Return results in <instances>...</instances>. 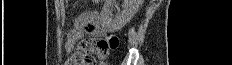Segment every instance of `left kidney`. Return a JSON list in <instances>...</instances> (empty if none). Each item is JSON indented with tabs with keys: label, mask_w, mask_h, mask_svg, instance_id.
Listing matches in <instances>:
<instances>
[{
	"label": "left kidney",
	"mask_w": 232,
	"mask_h": 65,
	"mask_svg": "<svg viewBox=\"0 0 232 65\" xmlns=\"http://www.w3.org/2000/svg\"><path fill=\"white\" fill-rule=\"evenodd\" d=\"M114 0H106L101 11V26L109 32L120 30L137 12L141 0H124L123 10L115 17L111 15V6Z\"/></svg>",
	"instance_id": "1"
}]
</instances>
